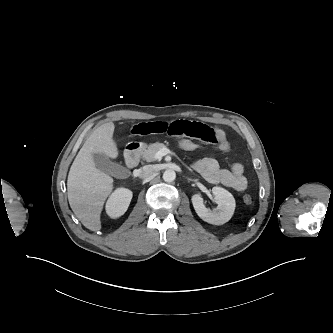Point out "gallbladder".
Wrapping results in <instances>:
<instances>
[{
  "label": "gallbladder",
  "instance_id": "obj_1",
  "mask_svg": "<svg viewBox=\"0 0 333 333\" xmlns=\"http://www.w3.org/2000/svg\"><path fill=\"white\" fill-rule=\"evenodd\" d=\"M93 160L99 170L114 177H118L125 169L122 165L111 161L110 158L103 153H93Z\"/></svg>",
  "mask_w": 333,
  "mask_h": 333
}]
</instances>
